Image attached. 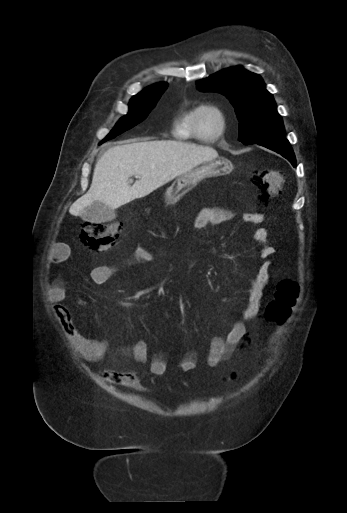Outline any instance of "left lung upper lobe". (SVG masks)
<instances>
[{"mask_svg": "<svg viewBox=\"0 0 347 513\" xmlns=\"http://www.w3.org/2000/svg\"><path fill=\"white\" fill-rule=\"evenodd\" d=\"M197 88L222 93L230 100L239 120L240 142L254 144L285 137L273 96L259 75L231 67L200 81Z\"/></svg>", "mask_w": 347, "mask_h": 513, "instance_id": "5c2ea615", "label": "left lung upper lobe"}]
</instances>
